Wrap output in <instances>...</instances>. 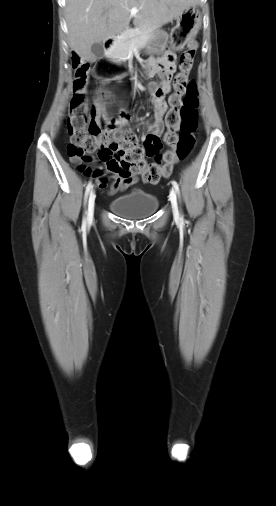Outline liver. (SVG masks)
Returning <instances> with one entry per match:
<instances>
[{
    "label": "liver",
    "instance_id": "liver-1",
    "mask_svg": "<svg viewBox=\"0 0 276 506\" xmlns=\"http://www.w3.org/2000/svg\"><path fill=\"white\" fill-rule=\"evenodd\" d=\"M198 0H66L69 46L82 60L95 61L94 43L125 30L134 17L137 26L157 27L171 22ZM138 12L131 15V9Z\"/></svg>",
    "mask_w": 276,
    "mask_h": 506
}]
</instances>
